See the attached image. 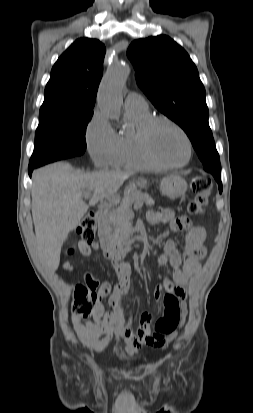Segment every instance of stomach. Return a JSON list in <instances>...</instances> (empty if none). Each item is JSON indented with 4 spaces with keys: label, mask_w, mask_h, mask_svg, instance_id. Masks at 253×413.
<instances>
[{
    "label": "stomach",
    "mask_w": 253,
    "mask_h": 413,
    "mask_svg": "<svg viewBox=\"0 0 253 413\" xmlns=\"http://www.w3.org/2000/svg\"><path fill=\"white\" fill-rule=\"evenodd\" d=\"M136 183L140 188H144L147 185V181L143 178H140ZM187 187V182L179 175H170L163 178L160 184L162 194L170 199H176L184 195Z\"/></svg>",
    "instance_id": "stomach-1"
}]
</instances>
